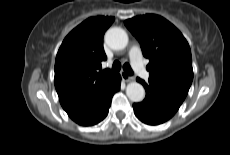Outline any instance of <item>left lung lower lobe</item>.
I'll use <instances>...</instances> for the list:
<instances>
[{"instance_id": "left-lung-lower-lobe-1", "label": "left lung lower lobe", "mask_w": 230, "mask_h": 155, "mask_svg": "<svg viewBox=\"0 0 230 155\" xmlns=\"http://www.w3.org/2000/svg\"><path fill=\"white\" fill-rule=\"evenodd\" d=\"M145 90L146 97L141 103H134L136 117L145 124L158 125L169 120L179 109L183 100L172 95L151 81L137 78Z\"/></svg>"}]
</instances>
